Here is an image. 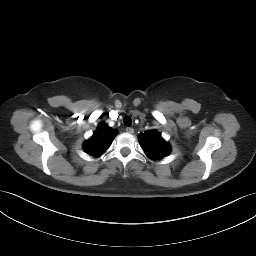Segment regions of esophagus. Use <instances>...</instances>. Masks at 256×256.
<instances>
[{"mask_svg": "<svg viewBox=\"0 0 256 256\" xmlns=\"http://www.w3.org/2000/svg\"><path fill=\"white\" fill-rule=\"evenodd\" d=\"M126 132H127V133H130V134H133V133H134V129L131 128V127H127V128H126Z\"/></svg>", "mask_w": 256, "mask_h": 256, "instance_id": "1", "label": "esophagus"}]
</instances>
